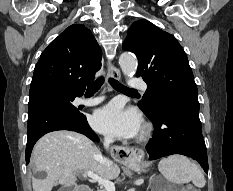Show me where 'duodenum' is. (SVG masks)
Instances as JSON below:
<instances>
[{
    "instance_id": "1",
    "label": "duodenum",
    "mask_w": 233,
    "mask_h": 191,
    "mask_svg": "<svg viewBox=\"0 0 233 191\" xmlns=\"http://www.w3.org/2000/svg\"><path fill=\"white\" fill-rule=\"evenodd\" d=\"M78 191H88V190L85 188H79Z\"/></svg>"
}]
</instances>
